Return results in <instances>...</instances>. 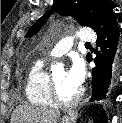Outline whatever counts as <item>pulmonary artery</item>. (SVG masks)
Segmentation results:
<instances>
[{
    "label": "pulmonary artery",
    "instance_id": "e3ab8cb5",
    "mask_svg": "<svg viewBox=\"0 0 122 123\" xmlns=\"http://www.w3.org/2000/svg\"><path fill=\"white\" fill-rule=\"evenodd\" d=\"M74 38L79 39L84 43L94 42L96 39L95 33L88 28H83L77 32L75 37L69 36L60 40L50 51V56L60 57L70 50L73 45Z\"/></svg>",
    "mask_w": 122,
    "mask_h": 123
}]
</instances>
